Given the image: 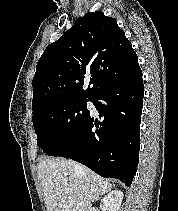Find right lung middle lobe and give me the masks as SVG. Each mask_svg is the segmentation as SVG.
I'll use <instances>...</instances> for the list:
<instances>
[{
    "mask_svg": "<svg viewBox=\"0 0 178 211\" xmlns=\"http://www.w3.org/2000/svg\"><path fill=\"white\" fill-rule=\"evenodd\" d=\"M87 102L86 98L60 101L33 115L37 145L44 153L48 155L83 126L90 114Z\"/></svg>",
    "mask_w": 178,
    "mask_h": 211,
    "instance_id": "right-lung-middle-lobe-1",
    "label": "right lung middle lobe"
}]
</instances>
